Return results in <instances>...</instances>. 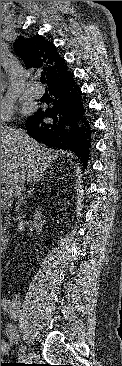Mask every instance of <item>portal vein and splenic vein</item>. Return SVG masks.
Instances as JSON below:
<instances>
[{
  "label": "portal vein and splenic vein",
  "instance_id": "obj_1",
  "mask_svg": "<svg viewBox=\"0 0 122 366\" xmlns=\"http://www.w3.org/2000/svg\"><path fill=\"white\" fill-rule=\"evenodd\" d=\"M11 196V193H10V190L9 189H2L1 190V197H3L4 199H8L10 198Z\"/></svg>",
  "mask_w": 122,
  "mask_h": 366
}]
</instances>
